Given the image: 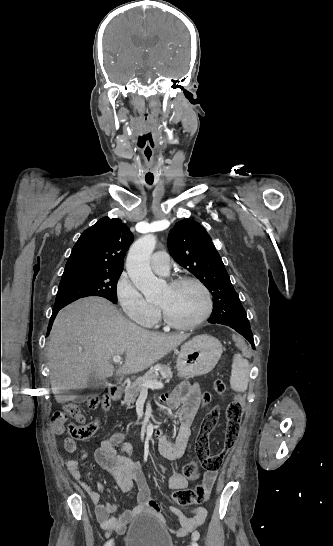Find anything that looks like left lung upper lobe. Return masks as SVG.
<instances>
[{
    "label": "left lung upper lobe",
    "instance_id": "1",
    "mask_svg": "<svg viewBox=\"0 0 333 546\" xmlns=\"http://www.w3.org/2000/svg\"><path fill=\"white\" fill-rule=\"evenodd\" d=\"M167 245L173 259L211 292L213 311L210 319L232 324L246 317L222 259L204 227L193 219H183L171 229Z\"/></svg>",
    "mask_w": 333,
    "mask_h": 546
}]
</instances>
